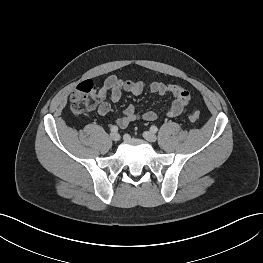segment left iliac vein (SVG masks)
I'll return each instance as SVG.
<instances>
[{
	"label": "left iliac vein",
	"mask_w": 263,
	"mask_h": 263,
	"mask_svg": "<svg viewBox=\"0 0 263 263\" xmlns=\"http://www.w3.org/2000/svg\"><path fill=\"white\" fill-rule=\"evenodd\" d=\"M143 137L149 142H155L157 140V136L153 132H150V131H145L143 133Z\"/></svg>",
	"instance_id": "1"
}]
</instances>
